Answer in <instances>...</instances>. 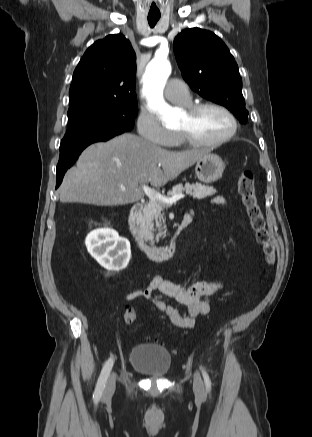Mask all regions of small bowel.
Masks as SVG:
<instances>
[{"label": "small bowel", "instance_id": "small-bowel-1", "mask_svg": "<svg viewBox=\"0 0 312 437\" xmlns=\"http://www.w3.org/2000/svg\"><path fill=\"white\" fill-rule=\"evenodd\" d=\"M213 202L219 205L224 204L221 197H216ZM219 288L220 285L214 281L201 280L182 286L160 275H154L147 287L128 293L126 300L131 301L144 297L157 310L166 313L169 321L174 326L191 329L195 326L196 319L199 316L209 313L211 307L210 297ZM168 300L183 306L185 310H181Z\"/></svg>", "mask_w": 312, "mask_h": 437}]
</instances>
